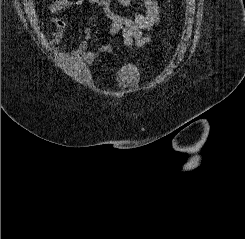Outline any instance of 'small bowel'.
<instances>
[{
    "label": "small bowel",
    "instance_id": "obj_1",
    "mask_svg": "<svg viewBox=\"0 0 245 239\" xmlns=\"http://www.w3.org/2000/svg\"><path fill=\"white\" fill-rule=\"evenodd\" d=\"M112 1H116L125 7L130 13V16H125L114 12L111 8ZM85 2L100 8L110 23L109 34L111 37L121 32L123 35L124 45L127 47L136 45L143 46L150 41L148 32L159 22L160 7L156 0H144L146 11L142 13L136 10L131 0H55L49 6V11L52 15L61 12L72 10L76 6H81ZM50 22L54 25L53 39L51 46L57 48L62 39L66 23L63 19L52 16ZM85 38L80 42L74 56L79 58L87 65L93 64L95 59L110 51V46L105 45L96 52L88 51L89 41L91 39V29L85 31Z\"/></svg>",
    "mask_w": 245,
    "mask_h": 239
}]
</instances>
